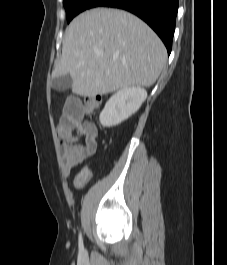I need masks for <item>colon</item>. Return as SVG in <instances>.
<instances>
[{
	"mask_svg": "<svg viewBox=\"0 0 227 265\" xmlns=\"http://www.w3.org/2000/svg\"><path fill=\"white\" fill-rule=\"evenodd\" d=\"M82 102H84L85 112L89 113L94 111L100 105L101 99L99 96H91V97H86L85 99L82 100Z\"/></svg>",
	"mask_w": 227,
	"mask_h": 265,
	"instance_id": "obj_1",
	"label": "colon"
}]
</instances>
